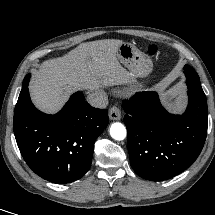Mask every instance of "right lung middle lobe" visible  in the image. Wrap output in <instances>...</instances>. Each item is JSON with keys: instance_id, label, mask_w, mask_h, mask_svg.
I'll use <instances>...</instances> for the list:
<instances>
[{"instance_id": "right-lung-middle-lobe-1", "label": "right lung middle lobe", "mask_w": 215, "mask_h": 215, "mask_svg": "<svg viewBox=\"0 0 215 215\" xmlns=\"http://www.w3.org/2000/svg\"><path fill=\"white\" fill-rule=\"evenodd\" d=\"M26 77H30V74H28ZM28 106V99L25 97L18 98L15 111H14V122H16L20 116L27 110Z\"/></svg>"}]
</instances>
